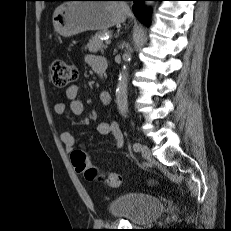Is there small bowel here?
<instances>
[{"label":"small bowel","mask_w":231,"mask_h":231,"mask_svg":"<svg viewBox=\"0 0 231 231\" xmlns=\"http://www.w3.org/2000/svg\"><path fill=\"white\" fill-rule=\"evenodd\" d=\"M87 62L90 67L95 71V68L101 64H107L106 60L101 57L88 56ZM65 96L70 101V111L74 116H81L84 112V106L78 98V87L71 85L65 90ZM100 101L104 106H108L111 102V96L107 91H102L99 95ZM67 105L64 102H58L54 106V111L58 115L66 112ZM97 131L103 135H112L115 141L116 148H121L123 145V134L120 130L119 124L116 121H100L97 124ZM61 141L66 151H72L75 139L70 132H63L61 134Z\"/></svg>","instance_id":"1"}]
</instances>
